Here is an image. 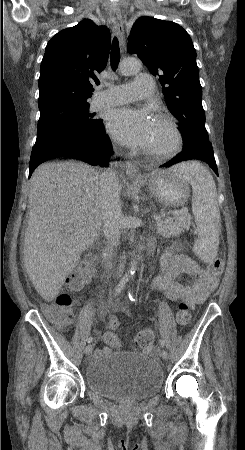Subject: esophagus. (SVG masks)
I'll use <instances>...</instances> for the list:
<instances>
[{
	"label": "esophagus",
	"mask_w": 245,
	"mask_h": 450,
	"mask_svg": "<svg viewBox=\"0 0 245 450\" xmlns=\"http://www.w3.org/2000/svg\"><path fill=\"white\" fill-rule=\"evenodd\" d=\"M110 17L112 19L114 29L118 36L119 42L123 46V44H124V25H123L121 13L116 5H111ZM125 172H126V175L130 179H137V178H139V175H140L138 167L130 161H127L125 164Z\"/></svg>",
	"instance_id": "esophagus-1"
}]
</instances>
